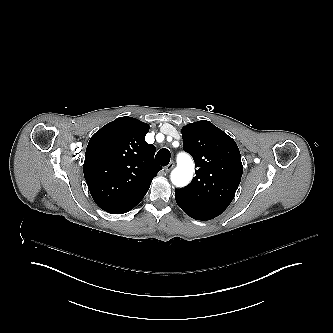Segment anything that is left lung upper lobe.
<instances>
[{
	"mask_svg": "<svg viewBox=\"0 0 333 333\" xmlns=\"http://www.w3.org/2000/svg\"><path fill=\"white\" fill-rule=\"evenodd\" d=\"M183 149L195 161L196 176L175 198L194 206L223 212L232 202L243 173L236 142L209 121L182 128Z\"/></svg>",
	"mask_w": 333,
	"mask_h": 333,
	"instance_id": "1",
	"label": "left lung upper lobe"
}]
</instances>
